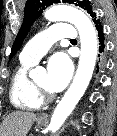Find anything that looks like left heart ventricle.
Wrapping results in <instances>:
<instances>
[{
    "label": "left heart ventricle",
    "instance_id": "b2bd125f",
    "mask_svg": "<svg viewBox=\"0 0 117 136\" xmlns=\"http://www.w3.org/2000/svg\"><path fill=\"white\" fill-rule=\"evenodd\" d=\"M36 83H37L39 86H41V87L47 89L48 91H50V90L48 89V87H47V75H46L45 73H44V74H41V75L37 78Z\"/></svg>",
    "mask_w": 117,
    "mask_h": 136
}]
</instances>
